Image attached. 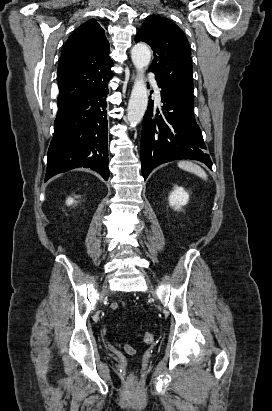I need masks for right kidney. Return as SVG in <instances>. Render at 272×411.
Listing matches in <instances>:
<instances>
[{"label": "right kidney", "mask_w": 272, "mask_h": 411, "mask_svg": "<svg viewBox=\"0 0 272 411\" xmlns=\"http://www.w3.org/2000/svg\"><path fill=\"white\" fill-rule=\"evenodd\" d=\"M74 203H76V201L74 200V198H71V197L67 198V200H66V204H67V205H72V204H74Z\"/></svg>", "instance_id": "1"}]
</instances>
